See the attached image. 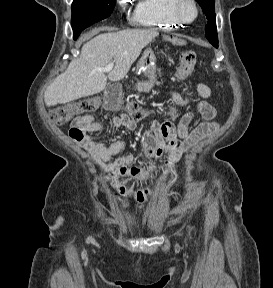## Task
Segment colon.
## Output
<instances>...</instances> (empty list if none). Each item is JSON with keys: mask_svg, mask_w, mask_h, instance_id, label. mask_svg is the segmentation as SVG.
Wrapping results in <instances>:
<instances>
[{"mask_svg": "<svg viewBox=\"0 0 273 288\" xmlns=\"http://www.w3.org/2000/svg\"><path fill=\"white\" fill-rule=\"evenodd\" d=\"M195 63V52L191 50L184 51L181 55L180 66L177 70L178 76L182 79L186 78L193 71ZM97 106V100H79L77 102L55 108L51 112V116L56 123L65 124L77 116L93 111ZM106 106L109 109L116 110L119 107V101L115 98H110L106 101ZM126 108L130 113H136L139 110V107L135 104H129ZM69 133L74 139H80L84 135V128L82 126L72 127Z\"/></svg>", "mask_w": 273, "mask_h": 288, "instance_id": "5ec220e1", "label": "colon"}]
</instances>
